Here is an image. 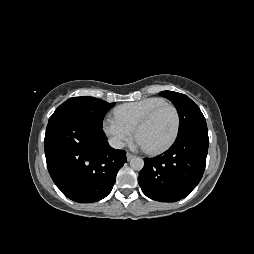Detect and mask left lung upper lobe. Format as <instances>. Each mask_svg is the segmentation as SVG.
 Instances as JSON below:
<instances>
[{
    "instance_id": "left-lung-upper-lobe-1",
    "label": "left lung upper lobe",
    "mask_w": 254,
    "mask_h": 254,
    "mask_svg": "<svg viewBox=\"0 0 254 254\" xmlns=\"http://www.w3.org/2000/svg\"><path fill=\"white\" fill-rule=\"evenodd\" d=\"M159 95L169 99L178 111L180 124L177 138L198 132L208 133L201 110L189 97L173 91H162Z\"/></svg>"
}]
</instances>
